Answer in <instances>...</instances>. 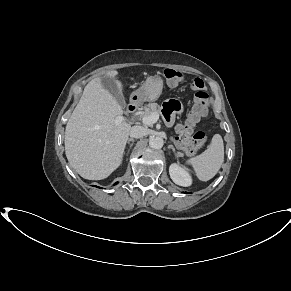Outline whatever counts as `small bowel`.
Here are the masks:
<instances>
[{"mask_svg": "<svg viewBox=\"0 0 291 291\" xmlns=\"http://www.w3.org/2000/svg\"><path fill=\"white\" fill-rule=\"evenodd\" d=\"M174 110H178V108L173 103L169 104L168 108L166 109V114L169 118H170V114Z\"/></svg>", "mask_w": 291, "mask_h": 291, "instance_id": "1", "label": "small bowel"}]
</instances>
